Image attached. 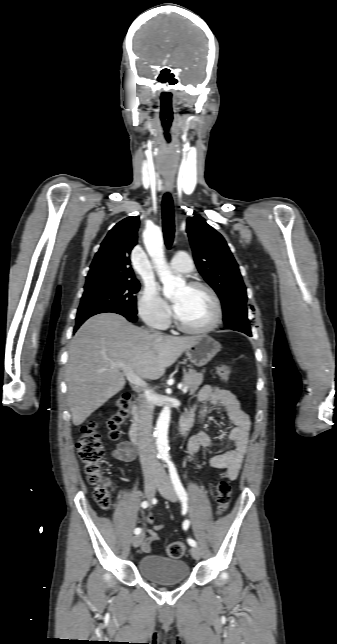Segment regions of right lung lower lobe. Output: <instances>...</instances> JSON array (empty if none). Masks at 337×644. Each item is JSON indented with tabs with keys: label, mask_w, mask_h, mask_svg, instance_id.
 Instances as JSON below:
<instances>
[{
	"label": "right lung lower lobe",
	"mask_w": 337,
	"mask_h": 644,
	"mask_svg": "<svg viewBox=\"0 0 337 644\" xmlns=\"http://www.w3.org/2000/svg\"><path fill=\"white\" fill-rule=\"evenodd\" d=\"M104 312H112V313H117V314L123 315V316H124V317H126L130 322H135V321H137V316H136V314H133V313H130V312H127V311H123V310H110V311H104ZM104 312H101V313H104ZM92 316H93V315H92ZM89 317H91V316L84 317V318H81V319L76 320V325H75V328H74V332H75V331L79 328V326H80V325H81L85 320H87Z\"/></svg>",
	"instance_id": "98d812e1"
}]
</instances>
